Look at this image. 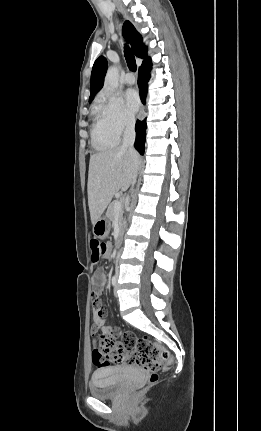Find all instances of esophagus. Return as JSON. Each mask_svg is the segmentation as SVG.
Wrapping results in <instances>:
<instances>
[{
	"instance_id": "1",
	"label": "esophagus",
	"mask_w": 261,
	"mask_h": 431,
	"mask_svg": "<svg viewBox=\"0 0 261 431\" xmlns=\"http://www.w3.org/2000/svg\"><path fill=\"white\" fill-rule=\"evenodd\" d=\"M144 116H145V112H144V107H143V105L141 106V109H140V112H139V114H138V118L141 120V119H143L144 118Z\"/></svg>"
}]
</instances>
